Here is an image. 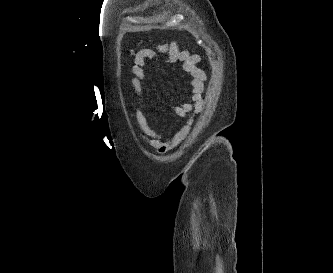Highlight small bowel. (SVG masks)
<instances>
[{"label":"small bowel","instance_id":"small-bowel-1","mask_svg":"<svg viewBox=\"0 0 333 273\" xmlns=\"http://www.w3.org/2000/svg\"><path fill=\"white\" fill-rule=\"evenodd\" d=\"M164 54H167L168 63H180L183 70L191 76L192 104H181L176 110L178 116L184 117L190 111L198 110L202 106V94L207 79L205 72L198 67L200 57L196 54H191L187 48L181 47L176 42L142 47L132 52L133 65L131 72L134 76L129 82V89L132 90L138 98L135 107L136 130L143 140L161 154L171 150L180 139L181 134L171 140L164 141L162 135L152 127L141 98L147 77V59L158 58Z\"/></svg>","mask_w":333,"mask_h":273}]
</instances>
